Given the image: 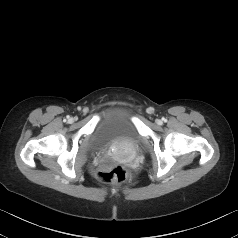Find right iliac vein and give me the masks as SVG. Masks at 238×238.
<instances>
[{
  "label": "right iliac vein",
  "instance_id": "1",
  "mask_svg": "<svg viewBox=\"0 0 238 238\" xmlns=\"http://www.w3.org/2000/svg\"><path fill=\"white\" fill-rule=\"evenodd\" d=\"M69 122H70V123L74 122V119H73V118H70V119H69Z\"/></svg>",
  "mask_w": 238,
  "mask_h": 238
}]
</instances>
